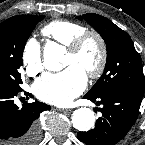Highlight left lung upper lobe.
Returning <instances> with one entry per match:
<instances>
[{
	"label": "left lung upper lobe",
	"instance_id": "5c2ea615",
	"mask_svg": "<svg viewBox=\"0 0 145 145\" xmlns=\"http://www.w3.org/2000/svg\"><path fill=\"white\" fill-rule=\"evenodd\" d=\"M77 18L86 20L102 36L107 48L104 73L87 95L99 97L115 91H127L143 97L142 61L129 35L98 14L89 13Z\"/></svg>",
	"mask_w": 145,
	"mask_h": 145
}]
</instances>
